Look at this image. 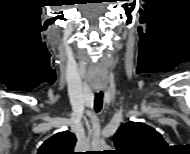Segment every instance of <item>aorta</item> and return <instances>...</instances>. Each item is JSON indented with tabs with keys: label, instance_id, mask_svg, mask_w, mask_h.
I'll return each mask as SVG.
<instances>
[{
	"label": "aorta",
	"instance_id": "obj_1",
	"mask_svg": "<svg viewBox=\"0 0 190 154\" xmlns=\"http://www.w3.org/2000/svg\"><path fill=\"white\" fill-rule=\"evenodd\" d=\"M100 148L104 150V149H108V148H109V146H108V145L103 144V145H101V146H100Z\"/></svg>",
	"mask_w": 190,
	"mask_h": 154
}]
</instances>
